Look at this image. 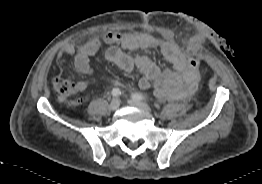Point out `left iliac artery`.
<instances>
[{
  "mask_svg": "<svg viewBox=\"0 0 262 184\" xmlns=\"http://www.w3.org/2000/svg\"><path fill=\"white\" fill-rule=\"evenodd\" d=\"M132 98L135 99V100H139V101L146 100V98L140 93L132 94Z\"/></svg>",
  "mask_w": 262,
  "mask_h": 184,
  "instance_id": "1",
  "label": "left iliac artery"
}]
</instances>
